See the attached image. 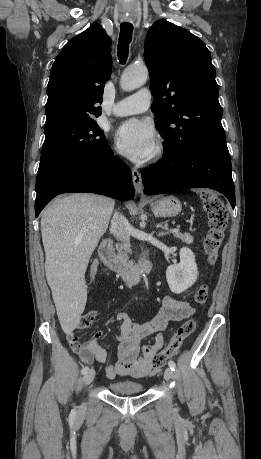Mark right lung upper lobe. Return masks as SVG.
<instances>
[{
    "mask_svg": "<svg viewBox=\"0 0 261 459\" xmlns=\"http://www.w3.org/2000/svg\"><path fill=\"white\" fill-rule=\"evenodd\" d=\"M110 44L105 31L93 24L65 45L51 69L44 129L101 114L97 104L111 74Z\"/></svg>",
    "mask_w": 261,
    "mask_h": 459,
    "instance_id": "obj_1",
    "label": "right lung upper lobe"
}]
</instances>
